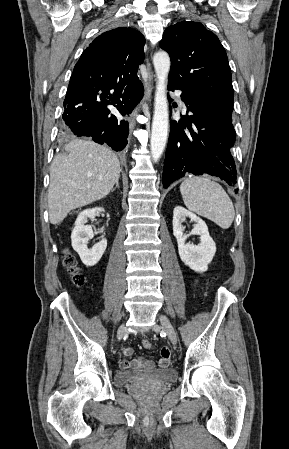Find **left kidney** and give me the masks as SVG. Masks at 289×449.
I'll list each match as a JSON object with an SVG mask.
<instances>
[{"instance_id": "5707ae66", "label": "left kidney", "mask_w": 289, "mask_h": 449, "mask_svg": "<svg viewBox=\"0 0 289 449\" xmlns=\"http://www.w3.org/2000/svg\"><path fill=\"white\" fill-rule=\"evenodd\" d=\"M190 218L195 222L194 228L189 234H184L182 222ZM173 235L177 239L179 256L182 262L195 272H205L211 263L215 253L216 244L210 237L206 223L194 213L182 206H176L173 211ZM190 235H199L200 243L193 245L186 243Z\"/></svg>"}]
</instances>
